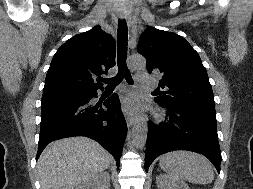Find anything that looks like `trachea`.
<instances>
[{
    "label": "trachea",
    "mask_w": 253,
    "mask_h": 189,
    "mask_svg": "<svg viewBox=\"0 0 253 189\" xmlns=\"http://www.w3.org/2000/svg\"><path fill=\"white\" fill-rule=\"evenodd\" d=\"M127 41H128V27L126 20H118V30H117V65L118 73L113 78H104L101 81L107 84L108 88H115L118 84L122 82L123 79L127 81L128 84H133V80L130 71L126 64L127 59Z\"/></svg>",
    "instance_id": "obj_1"
}]
</instances>
